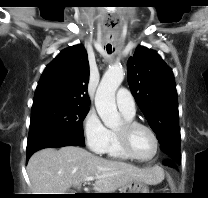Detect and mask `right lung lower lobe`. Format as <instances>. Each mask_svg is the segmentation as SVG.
I'll use <instances>...</instances> for the list:
<instances>
[{"mask_svg":"<svg viewBox=\"0 0 208 198\" xmlns=\"http://www.w3.org/2000/svg\"><path fill=\"white\" fill-rule=\"evenodd\" d=\"M64 146H84V141L65 133H49L28 139L26 156H30L43 148H59Z\"/></svg>","mask_w":208,"mask_h":198,"instance_id":"1","label":"right lung lower lobe"}]
</instances>
